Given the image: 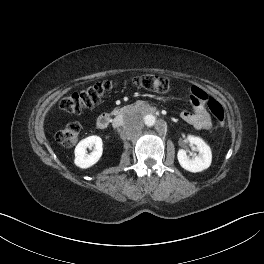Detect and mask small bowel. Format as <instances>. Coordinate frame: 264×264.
Segmentation results:
<instances>
[{
    "mask_svg": "<svg viewBox=\"0 0 264 264\" xmlns=\"http://www.w3.org/2000/svg\"><path fill=\"white\" fill-rule=\"evenodd\" d=\"M193 111H182L180 117L186 123L197 129H208L211 118L206 109L207 94L198 87H192L189 95Z\"/></svg>",
    "mask_w": 264,
    "mask_h": 264,
    "instance_id": "c3829d8e",
    "label": "small bowel"
}]
</instances>
